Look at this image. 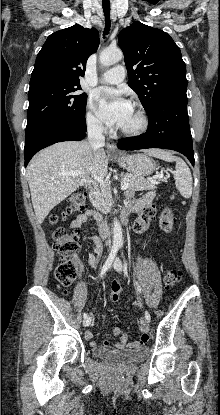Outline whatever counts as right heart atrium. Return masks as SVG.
<instances>
[{"mask_svg": "<svg viewBox=\"0 0 220 415\" xmlns=\"http://www.w3.org/2000/svg\"><path fill=\"white\" fill-rule=\"evenodd\" d=\"M85 120L88 128L94 132L102 133L106 129L104 122L96 115L94 111L93 101L91 98H89L87 101Z\"/></svg>", "mask_w": 220, "mask_h": 415, "instance_id": "right-heart-atrium-1", "label": "right heart atrium"}]
</instances>
